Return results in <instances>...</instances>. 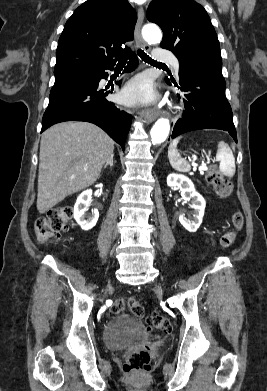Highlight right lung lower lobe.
Returning <instances> with one entry per match:
<instances>
[{
    "instance_id": "obj_1",
    "label": "right lung lower lobe",
    "mask_w": 267,
    "mask_h": 391,
    "mask_svg": "<svg viewBox=\"0 0 267 391\" xmlns=\"http://www.w3.org/2000/svg\"><path fill=\"white\" fill-rule=\"evenodd\" d=\"M114 65L99 66L83 73L81 77L54 85L43 115L41 132L59 122L87 121L101 127L124 149L132 116L105 99L113 88H99L100 80L108 75L105 70H112ZM137 65V57L133 55L124 72L133 71Z\"/></svg>"
}]
</instances>
